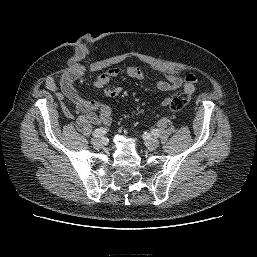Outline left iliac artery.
<instances>
[{"label":"left iliac artery","mask_w":257,"mask_h":257,"mask_svg":"<svg viewBox=\"0 0 257 257\" xmlns=\"http://www.w3.org/2000/svg\"><path fill=\"white\" fill-rule=\"evenodd\" d=\"M152 134L156 137L160 136V132L157 129H152Z\"/></svg>","instance_id":"obj_1"}]
</instances>
